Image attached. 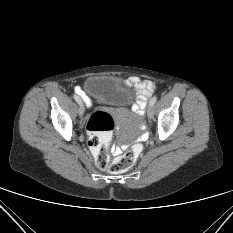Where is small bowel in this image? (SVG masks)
<instances>
[{
	"mask_svg": "<svg viewBox=\"0 0 233 233\" xmlns=\"http://www.w3.org/2000/svg\"><path fill=\"white\" fill-rule=\"evenodd\" d=\"M129 82L137 91V104H135L132 109L136 112H140L144 109L147 98L153 93L155 85L149 80H142L136 76L130 77ZM75 92L84 98L88 106H91L90 100L85 96L81 87L77 86ZM112 152L114 155H119L122 152V148L120 146H115L112 148Z\"/></svg>",
	"mask_w": 233,
	"mask_h": 233,
	"instance_id": "small-bowel-1",
	"label": "small bowel"
}]
</instances>
